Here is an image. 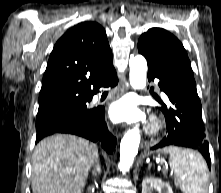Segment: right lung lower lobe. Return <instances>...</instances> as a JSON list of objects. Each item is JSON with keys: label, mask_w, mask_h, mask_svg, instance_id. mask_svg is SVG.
<instances>
[{"label": "right lung lower lobe", "mask_w": 221, "mask_h": 193, "mask_svg": "<svg viewBox=\"0 0 221 193\" xmlns=\"http://www.w3.org/2000/svg\"><path fill=\"white\" fill-rule=\"evenodd\" d=\"M117 82L118 79L114 70L103 79L97 88L96 93L99 91V88L114 87ZM104 112V108H97L94 109L91 118L85 122L72 123L50 131L39 132L36 136V143L48 135L55 133H69L87 138L93 142L101 141L102 147L108 153H112L116 146V138L108 132L104 119Z\"/></svg>", "instance_id": "right-lung-lower-lobe-1"}]
</instances>
